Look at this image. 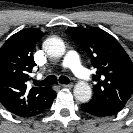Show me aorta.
<instances>
[{
	"mask_svg": "<svg viewBox=\"0 0 133 133\" xmlns=\"http://www.w3.org/2000/svg\"><path fill=\"white\" fill-rule=\"evenodd\" d=\"M43 48L48 55L58 58L65 53V44L58 37H50L43 43ZM74 97L80 102H88L92 96V90L87 82L80 81L74 87Z\"/></svg>",
	"mask_w": 133,
	"mask_h": 133,
	"instance_id": "aorta-1",
	"label": "aorta"
}]
</instances>
